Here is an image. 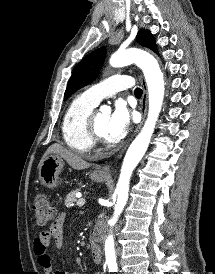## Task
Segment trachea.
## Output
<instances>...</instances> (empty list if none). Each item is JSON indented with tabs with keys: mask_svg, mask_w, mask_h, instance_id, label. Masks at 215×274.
<instances>
[{
	"mask_svg": "<svg viewBox=\"0 0 215 274\" xmlns=\"http://www.w3.org/2000/svg\"><path fill=\"white\" fill-rule=\"evenodd\" d=\"M134 93L136 97H141L143 92L140 88H136Z\"/></svg>",
	"mask_w": 215,
	"mask_h": 274,
	"instance_id": "trachea-1",
	"label": "trachea"
}]
</instances>
